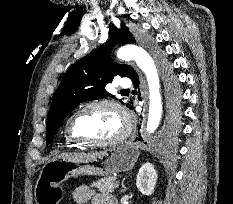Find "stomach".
I'll return each mask as SVG.
<instances>
[{"instance_id":"stomach-1","label":"stomach","mask_w":233,"mask_h":204,"mask_svg":"<svg viewBox=\"0 0 233 204\" xmlns=\"http://www.w3.org/2000/svg\"><path fill=\"white\" fill-rule=\"evenodd\" d=\"M139 157L138 147L124 143L88 154L53 158L41 169L35 185L36 204H59L63 197L62 183L82 175L110 176L129 171Z\"/></svg>"}]
</instances>
